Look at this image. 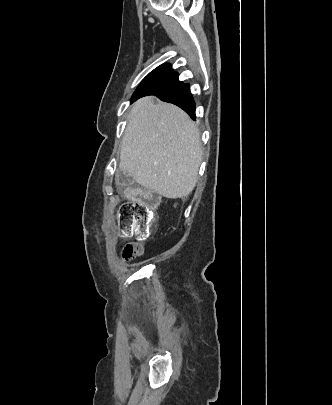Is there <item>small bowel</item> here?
Listing matches in <instances>:
<instances>
[{"instance_id":"1","label":"small bowel","mask_w":332,"mask_h":405,"mask_svg":"<svg viewBox=\"0 0 332 405\" xmlns=\"http://www.w3.org/2000/svg\"><path fill=\"white\" fill-rule=\"evenodd\" d=\"M113 178L115 186H132V184H136V179H132L130 172H114Z\"/></svg>"}]
</instances>
